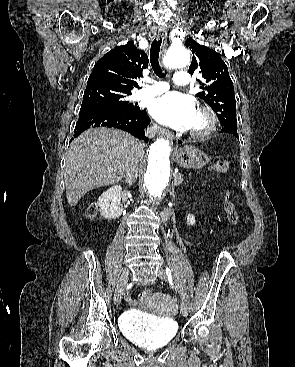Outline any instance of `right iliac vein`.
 I'll use <instances>...</instances> for the list:
<instances>
[{
  "mask_svg": "<svg viewBox=\"0 0 295 367\" xmlns=\"http://www.w3.org/2000/svg\"><path fill=\"white\" fill-rule=\"evenodd\" d=\"M128 269H124L119 281H118V284H117V288H116V293H115V303L116 304H119L120 301H121V298H122V295H123V291H124V288L127 284V281H128Z\"/></svg>",
  "mask_w": 295,
  "mask_h": 367,
  "instance_id": "right-iliac-vein-1",
  "label": "right iliac vein"
}]
</instances>
